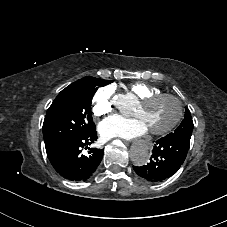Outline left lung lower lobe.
<instances>
[{"mask_svg":"<svg viewBox=\"0 0 227 227\" xmlns=\"http://www.w3.org/2000/svg\"><path fill=\"white\" fill-rule=\"evenodd\" d=\"M190 146V140L165 136L156 141L150 162L135 172L149 181H163L178 171Z\"/></svg>","mask_w":227,"mask_h":227,"instance_id":"obj_1","label":"left lung lower lobe"}]
</instances>
